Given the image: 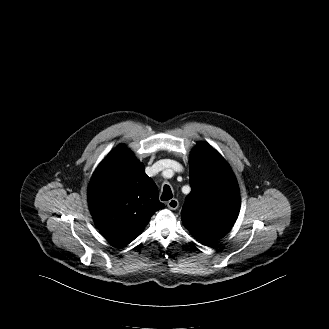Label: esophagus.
<instances>
[{
	"mask_svg": "<svg viewBox=\"0 0 329 329\" xmlns=\"http://www.w3.org/2000/svg\"><path fill=\"white\" fill-rule=\"evenodd\" d=\"M167 206L171 210H176L179 207V202L174 198L168 201Z\"/></svg>",
	"mask_w": 329,
	"mask_h": 329,
	"instance_id": "34e87169",
	"label": "esophagus"
}]
</instances>
